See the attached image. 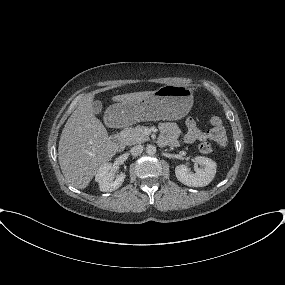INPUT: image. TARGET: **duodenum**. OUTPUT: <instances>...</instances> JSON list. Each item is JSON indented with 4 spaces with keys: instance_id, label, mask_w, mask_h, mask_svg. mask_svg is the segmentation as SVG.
I'll return each instance as SVG.
<instances>
[{
    "instance_id": "duodenum-1",
    "label": "duodenum",
    "mask_w": 285,
    "mask_h": 285,
    "mask_svg": "<svg viewBox=\"0 0 285 285\" xmlns=\"http://www.w3.org/2000/svg\"><path fill=\"white\" fill-rule=\"evenodd\" d=\"M113 141H114V143H115L116 145H118V146H121L122 143H123V141H122V139H121L120 137H115V138L113 139Z\"/></svg>"
}]
</instances>
